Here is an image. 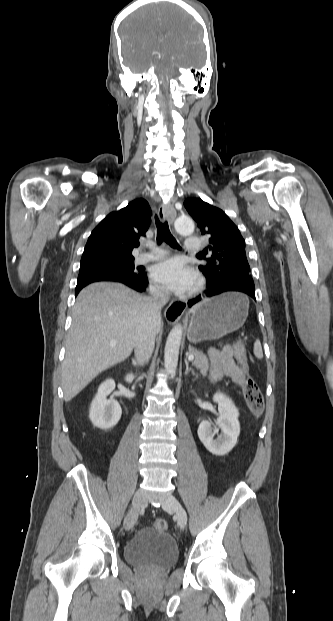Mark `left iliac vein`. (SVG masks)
I'll return each instance as SVG.
<instances>
[{
	"label": "left iliac vein",
	"mask_w": 333,
	"mask_h": 621,
	"mask_svg": "<svg viewBox=\"0 0 333 621\" xmlns=\"http://www.w3.org/2000/svg\"><path fill=\"white\" fill-rule=\"evenodd\" d=\"M162 507L166 511H172L176 514L178 524L181 529H184L187 524V514L180 502L173 496L168 495L162 502Z\"/></svg>",
	"instance_id": "obj_1"
}]
</instances>
